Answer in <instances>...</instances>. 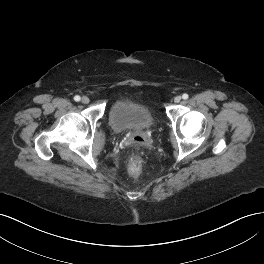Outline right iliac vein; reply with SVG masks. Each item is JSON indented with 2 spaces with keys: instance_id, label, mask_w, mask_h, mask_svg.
<instances>
[{
  "instance_id": "obj_1",
  "label": "right iliac vein",
  "mask_w": 264,
  "mask_h": 264,
  "mask_svg": "<svg viewBox=\"0 0 264 264\" xmlns=\"http://www.w3.org/2000/svg\"><path fill=\"white\" fill-rule=\"evenodd\" d=\"M89 98L87 97V96H83L82 98H81V102L83 103V104H88L89 103Z\"/></svg>"
}]
</instances>
